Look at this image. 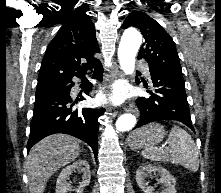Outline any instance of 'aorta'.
Listing matches in <instances>:
<instances>
[{
    "instance_id": "aorta-1",
    "label": "aorta",
    "mask_w": 221,
    "mask_h": 193,
    "mask_svg": "<svg viewBox=\"0 0 221 193\" xmlns=\"http://www.w3.org/2000/svg\"><path fill=\"white\" fill-rule=\"evenodd\" d=\"M141 43L142 36L137 30L129 28L123 33L118 47V59L121 69L127 75L134 73L135 57ZM136 122V117L133 114H123L116 121V129L128 131L136 125Z\"/></svg>"
}]
</instances>
